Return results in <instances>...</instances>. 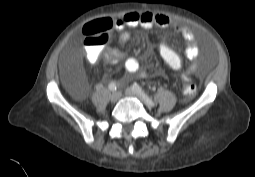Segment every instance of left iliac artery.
<instances>
[{"label": "left iliac artery", "mask_w": 255, "mask_h": 177, "mask_svg": "<svg viewBox=\"0 0 255 177\" xmlns=\"http://www.w3.org/2000/svg\"><path fill=\"white\" fill-rule=\"evenodd\" d=\"M132 89L136 91L137 93H139L149 105L151 106L155 105L152 99L144 92V90H142V88L138 84L136 83L133 84Z\"/></svg>", "instance_id": "left-iliac-artery-1"}]
</instances>
